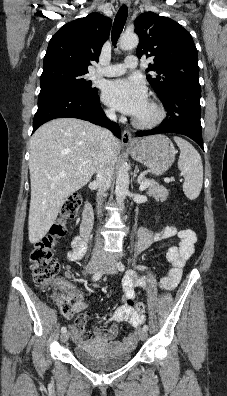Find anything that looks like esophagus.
<instances>
[{
  "label": "esophagus",
  "instance_id": "esophagus-1",
  "mask_svg": "<svg viewBox=\"0 0 227 396\" xmlns=\"http://www.w3.org/2000/svg\"><path fill=\"white\" fill-rule=\"evenodd\" d=\"M121 3L128 6L130 4V0H121ZM122 143L124 145L133 144L132 135H131L129 130H124L123 131V133H122Z\"/></svg>",
  "mask_w": 227,
  "mask_h": 396
}]
</instances>
